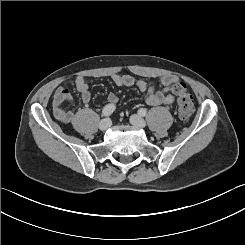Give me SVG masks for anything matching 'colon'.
Here are the masks:
<instances>
[{
	"mask_svg": "<svg viewBox=\"0 0 245 245\" xmlns=\"http://www.w3.org/2000/svg\"><path fill=\"white\" fill-rule=\"evenodd\" d=\"M172 91L177 97L180 119L184 122L189 121L194 113V105L192 96L187 91L186 85L183 82H177L173 85Z\"/></svg>",
	"mask_w": 245,
	"mask_h": 245,
	"instance_id": "1",
	"label": "colon"
}]
</instances>
